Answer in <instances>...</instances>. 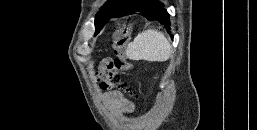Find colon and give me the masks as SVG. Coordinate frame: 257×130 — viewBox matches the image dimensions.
I'll list each match as a JSON object with an SVG mask.
<instances>
[{
	"mask_svg": "<svg viewBox=\"0 0 257 130\" xmlns=\"http://www.w3.org/2000/svg\"><path fill=\"white\" fill-rule=\"evenodd\" d=\"M130 34L131 29L129 26H124L115 32L112 43L113 58L102 62L96 72V77L102 90L119 88L129 97H136L135 93L126 84L121 83L119 76L121 72L129 71L132 68L127 56Z\"/></svg>",
	"mask_w": 257,
	"mask_h": 130,
	"instance_id": "colon-1",
	"label": "colon"
}]
</instances>
